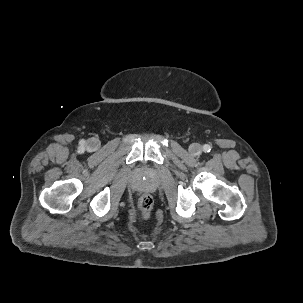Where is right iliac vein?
I'll use <instances>...</instances> for the list:
<instances>
[{
	"mask_svg": "<svg viewBox=\"0 0 303 303\" xmlns=\"http://www.w3.org/2000/svg\"><path fill=\"white\" fill-rule=\"evenodd\" d=\"M100 143L97 139L93 138V139H90L88 141V146L91 148V149H97L99 147Z\"/></svg>",
	"mask_w": 303,
	"mask_h": 303,
	"instance_id": "1",
	"label": "right iliac vein"
}]
</instances>
